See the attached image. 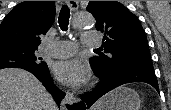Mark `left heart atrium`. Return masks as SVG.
Masks as SVG:
<instances>
[{
	"mask_svg": "<svg viewBox=\"0 0 171 110\" xmlns=\"http://www.w3.org/2000/svg\"><path fill=\"white\" fill-rule=\"evenodd\" d=\"M52 70L59 81L71 87L81 86L89 76L87 66L78 58L57 61Z\"/></svg>",
	"mask_w": 171,
	"mask_h": 110,
	"instance_id": "obj_1",
	"label": "left heart atrium"
}]
</instances>
